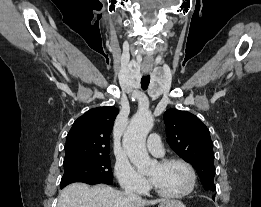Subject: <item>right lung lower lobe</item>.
<instances>
[{"mask_svg":"<svg viewBox=\"0 0 261 207\" xmlns=\"http://www.w3.org/2000/svg\"><path fill=\"white\" fill-rule=\"evenodd\" d=\"M85 183L90 184V185H94V184H98V183H105V184L111 185L113 182L107 181V180H94V181H87ZM64 187H61V189L64 188Z\"/></svg>","mask_w":261,"mask_h":207,"instance_id":"98d812e1","label":"right lung lower lobe"}]
</instances>
